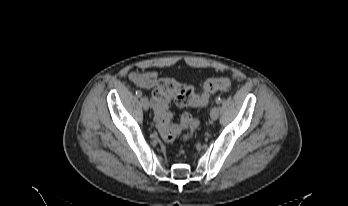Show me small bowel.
Here are the masks:
<instances>
[{
  "label": "small bowel",
  "instance_id": "obj_1",
  "mask_svg": "<svg viewBox=\"0 0 348 206\" xmlns=\"http://www.w3.org/2000/svg\"><path fill=\"white\" fill-rule=\"evenodd\" d=\"M128 78L135 85L144 89L155 88L160 81L157 72L147 69L131 71L128 74Z\"/></svg>",
  "mask_w": 348,
  "mask_h": 206
}]
</instances>
